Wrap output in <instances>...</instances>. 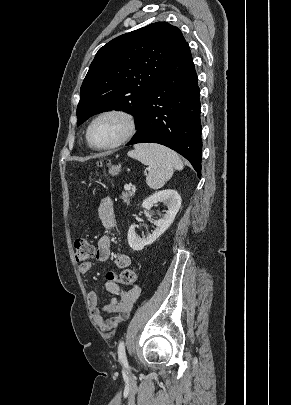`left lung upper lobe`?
Returning a JSON list of instances; mask_svg holds the SVG:
<instances>
[{
	"label": "left lung upper lobe",
	"mask_w": 291,
	"mask_h": 405,
	"mask_svg": "<svg viewBox=\"0 0 291 405\" xmlns=\"http://www.w3.org/2000/svg\"><path fill=\"white\" fill-rule=\"evenodd\" d=\"M185 43L179 28L156 22L101 47L81 86L77 125L96 113L123 109L138 127L151 87Z\"/></svg>",
	"instance_id": "obj_1"
}]
</instances>
